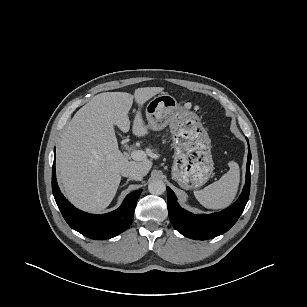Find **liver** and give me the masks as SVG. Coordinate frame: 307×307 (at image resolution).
<instances>
[{"label":"liver","mask_w":307,"mask_h":307,"mask_svg":"<svg viewBox=\"0 0 307 307\" xmlns=\"http://www.w3.org/2000/svg\"><path fill=\"white\" fill-rule=\"evenodd\" d=\"M163 91L145 87L126 92H104L80 108L67 124L57 150V175L66 197L79 209L98 213L113 200L121 181V171L133 167L147 175L149 159L129 161L118 149L114 125L128 132V112L135 99L138 106ZM132 133L148 134L140 111L133 120Z\"/></svg>","instance_id":"6515ba94"}]
</instances>
